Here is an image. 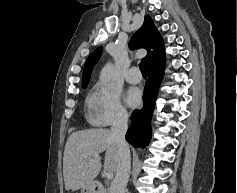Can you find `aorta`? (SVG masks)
I'll return each instance as SVG.
<instances>
[{"mask_svg": "<svg viewBox=\"0 0 237 193\" xmlns=\"http://www.w3.org/2000/svg\"><path fill=\"white\" fill-rule=\"evenodd\" d=\"M115 74V66L112 63L106 64L100 74L101 82H109Z\"/></svg>", "mask_w": 237, "mask_h": 193, "instance_id": "aorta-1", "label": "aorta"}]
</instances>
